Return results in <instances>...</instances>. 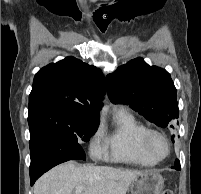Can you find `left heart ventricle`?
Instances as JSON below:
<instances>
[{
  "mask_svg": "<svg viewBox=\"0 0 201 194\" xmlns=\"http://www.w3.org/2000/svg\"><path fill=\"white\" fill-rule=\"evenodd\" d=\"M150 150L155 156H163L167 151V147L162 138L154 136L150 141Z\"/></svg>",
  "mask_w": 201,
  "mask_h": 194,
  "instance_id": "b2bd125f",
  "label": "left heart ventricle"
}]
</instances>
